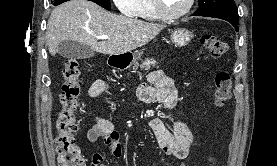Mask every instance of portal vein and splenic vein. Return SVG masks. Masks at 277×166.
<instances>
[{
    "mask_svg": "<svg viewBox=\"0 0 277 166\" xmlns=\"http://www.w3.org/2000/svg\"><path fill=\"white\" fill-rule=\"evenodd\" d=\"M97 38L102 40H108L109 36L103 35V36H97Z\"/></svg>",
    "mask_w": 277,
    "mask_h": 166,
    "instance_id": "obj_1",
    "label": "portal vein and splenic vein"
}]
</instances>
